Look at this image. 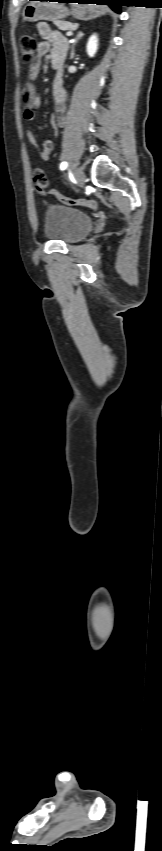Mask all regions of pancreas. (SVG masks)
<instances>
[{"label": "pancreas", "mask_w": 162, "mask_h": 851, "mask_svg": "<svg viewBox=\"0 0 162 851\" xmlns=\"http://www.w3.org/2000/svg\"><path fill=\"white\" fill-rule=\"evenodd\" d=\"M54 24L62 31H71L78 27V23H71L67 21H55Z\"/></svg>", "instance_id": "pancreas-1"}]
</instances>
